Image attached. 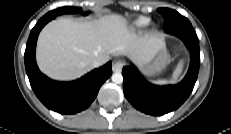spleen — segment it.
Listing matches in <instances>:
<instances>
[{
    "mask_svg": "<svg viewBox=\"0 0 231 134\" xmlns=\"http://www.w3.org/2000/svg\"><path fill=\"white\" fill-rule=\"evenodd\" d=\"M182 69H183V62H179L177 67L175 68L174 72H173V75H172V78L170 80H158L156 83L157 84H167V83H174L177 81L179 75L181 74L182 72Z\"/></svg>",
    "mask_w": 231,
    "mask_h": 134,
    "instance_id": "3e777b00",
    "label": "spleen"
}]
</instances>
